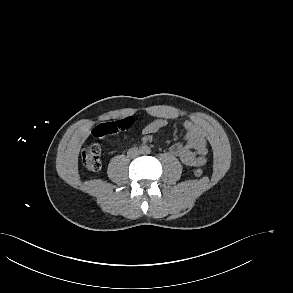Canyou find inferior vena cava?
Instances as JSON below:
<instances>
[{
	"mask_svg": "<svg viewBox=\"0 0 293 293\" xmlns=\"http://www.w3.org/2000/svg\"><path fill=\"white\" fill-rule=\"evenodd\" d=\"M128 156L131 157V158H135L137 156L140 155V152L137 148H131L129 151H128Z\"/></svg>",
	"mask_w": 293,
	"mask_h": 293,
	"instance_id": "obj_1",
	"label": "inferior vena cava"
}]
</instances>
